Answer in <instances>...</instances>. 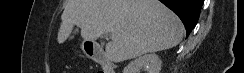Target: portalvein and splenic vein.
I'll return each mask as SVG.
<instances>
[{"label": "portal vein and splenic vein", "mask_w": 244, "mask_h": 73, "mask_svg": "<svg viewBox=\"0 0 244 73\" xmlns=\"http://www.w3.org/2000/svg\"><path fill=\"white\" fill-rule=\"evenodd\" d=\"M111 38L114 39L115 38V35H111Z\"/></svg>", "instance_id": "obj_1"}]
</instances>
